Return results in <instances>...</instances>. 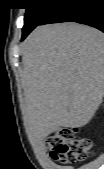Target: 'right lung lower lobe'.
<instances>
[{
	"instance_id": "98d812e1",
	"label": "right lung lower lobe",
	"mask_w": 104,
	"mask_h": 169,
	"mask_svg": "<svg viewBox=\"0 0 104 169\" xmlns=\"http://www.w3.org/2000/svg\"><path fill=\"white\" fill-rule=\"evenodd\" d=\"M55 2L57 6L40 25L77 22L104 32V0H55ZM27 35L22 37V40Z\"/></svg>"
}]
</instances>
